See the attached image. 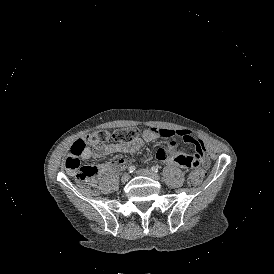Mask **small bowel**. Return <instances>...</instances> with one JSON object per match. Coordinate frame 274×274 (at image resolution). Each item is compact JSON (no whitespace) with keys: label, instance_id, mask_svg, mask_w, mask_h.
I'll return each instance as SVG.
<instances>
[{"label":"small bowel","instance_id":"1","mask_svg":"<svg viewBox=\"0 0 274 274\" xmlns=\"http://www.w3.org/2000/svg\"><path fill=\"white\" fill-rule=\"evenodd\" d=\"M192 144L197 153V157L187 158L180 156V141ZM159 138H172L169 141V148H162L157 150L156 157L159 160L167 159L172 166H178L180 163L185 169H195L199 165V160L204 166H209L210 161L206 156V147L202 139L195 133L188 130H175L164 127H149L145 129L141 137L130 143H106L96 145L94 147H87L83 150L81 156L83 159L100 158L114 153H128L135 152L142 147L144 143L153 142ZM199 159V160H198ZM128 162L125 159H117L98 166V173H105L113 169H122L127 166Z\"/></svg>","mask_w":274,"mask_h":274}]
</instances>
